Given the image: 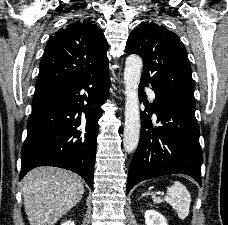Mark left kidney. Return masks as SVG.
I'll use <instances>...</instances> for the list:
<instances>
[{"label":"left kidney","mask_w":228,"mask_h":225,"mask_svg":"<svg viewBox=\"0 0 228 225\" xmlns=\"http://www.w3.org/2000/svg\"><path fill=\"white\" fill-rule=\"evenodd\" d=\"M145 225H167L165 217L157 211H145Z\"/></svg>","instance_id":"1"}]
</instances>
